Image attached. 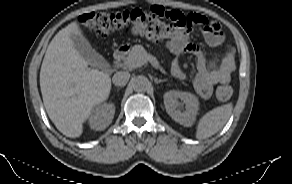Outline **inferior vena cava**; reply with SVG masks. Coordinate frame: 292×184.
Returning <instances> with one entry per match:
<instances>
[{"mask_svg":"<svg viewBox=\"0 0 292 184\" xmlns=\"http://www.w3.org/2000/svg\"><path fill=\"white\" fill-rule=\"evenodd\" d=\"M129 78L130 73L128 71H119L114 74L112 81L115 86L123 87L127 84Z\"/></svg>","mask_w":292,"mask_h":184,"instance_id":"602c4592","label":"inferior vena cava"}]
</instances>
